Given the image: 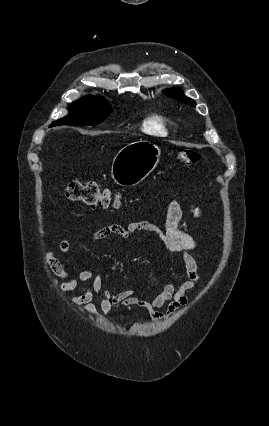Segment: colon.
I'll return each instance as SVG.
<instances>
[{"label": "colon", "instance_id": "colon-1", "mask_svg": "<svg viewBox=\"0 0 269 426\" xmlns=\"http://www.w3.org/2000/svg\"><path fill=\"white\" fill-rule=\"evenodd\" d=\"M178 160L184 165H195L200 160V154L192 149H179ZM66 199L80 202L93 208H108L112 203V191L95 181L82 182L71 180L64 188Z\"/></svg>", "mask_w": 269, "mask_h": 426}]
</instances>
